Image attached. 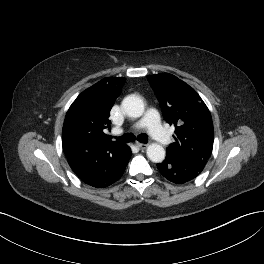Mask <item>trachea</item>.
I'll return each mask as SVG.
<instances>
[{"mask_svg": "<svg viewBox=\"0 0 264 264\" xmlns=\"http://www.w3.org/2000/svg\"><path fill=\"white\" fill-rule=\"evenodd\" d=\"M118 140L123 141V142H131L135 140V137L130 134V133H126L120 137H116ZM138 141L146 143L148 141V137L145 134H140L138 136Z\"/></svg>", "mask_w": 264, "mask_h": 264, "instance_id": "obj_1", "label": "trachea"}]
</instances>
